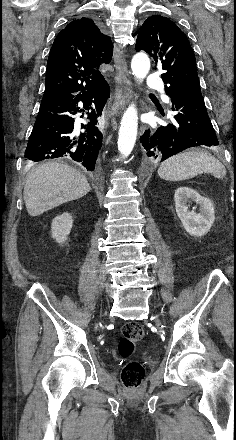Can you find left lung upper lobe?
I'll return each mask as SVG.
<instances>
[{
  "label": "left lung upper lobe",
  "instance_id": "obj_1",
  "mask_svg": "<svg viewBox=\"0 0 236 440\" xmlns=\"http://www.w3.org/2000/svg\"><path fill=\"white\" fill-rule=\"evenodd\" d=\"M136 51L147 52L164 71L167 94L184 84H199L192 47L179 27L160 15L149 17L137 36Z\"/></svg>",
  "mask_w": 236,
  "mask_h": 440
}]
</instances>
